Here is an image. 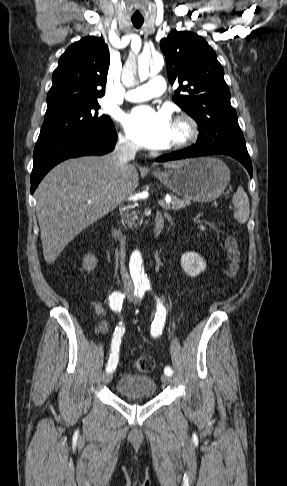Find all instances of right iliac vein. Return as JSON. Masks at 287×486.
<instances>
[{
  "instance_id": "right-iliac-vein-1",
  "label": "right iliac vein",
  "mask_w": 287,
  "mask_h": 486,
  "mask_svg": "<svg viewBox=\"0 0 287 486\" xmlns=\"http://www.w3.org/2000/svg\"><path fill=\"white\" fill-rule=\"evenodd\" d=\"M102 380H103V383H105V384L110 383L111 380H112V374H110V373L103 374Z\"/></svg>"
}]
</instances>
